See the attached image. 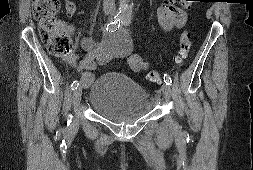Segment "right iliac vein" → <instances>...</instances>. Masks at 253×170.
Masks as SVG:
<instances>
[{"mask_svg":"<svg viewBox=\"0 0 253 170\" xmlns=\"http://www.w3.org/2000/svg\"><path fill=\"white\" fill-rule=\"evenodd\" d=\"M81 96H82V87L78 86L73 92V103H74L76 110L79 107V104L81 101Z\"/></svg>","mask_w":253,"mask_h":170,"instance_id":"obj_1","label":"right iliac vein"}]
</instances>
